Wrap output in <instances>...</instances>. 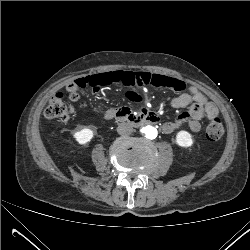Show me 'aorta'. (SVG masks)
Instances as JSON below:
<instances>
[{"label":"aorta","mask_w":250,"mask_h":250,"mask_svg":"<svg viewBox=\"0 0 250 250\" xmlns=\"http://www.w3.org/2000/svg\"><path fill=\"white\" fill-rule=\"evenodd\" d=\"M142 133L145 135L148 139H155L157 137L158 131L153 126H146L142 129Z\"/></svg>","instance_id":"aorta-1"}]
</instances>
